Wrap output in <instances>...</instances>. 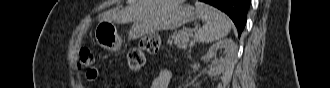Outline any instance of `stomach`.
<instances>
[{"mask_svg":"<svg viewBox=\"0 0 330 88\" xmlns=\"http://www.w3.org/2000/svg\"><path fill=\"white\" fill-rule=\"evenodd\" d=\"M195 8L180 0H158L154 11L146 18L136 21L128 32L129 40L138 39L146 34L175 30L187 22L196 19ZM95 40L104 49L116 51L121 48L122 41L114 23L101 21L95 28Z\"/></svg>","mask_w":330,"mask_h":88,"instance_id":"1","label":"stomach"}]
</instances>
